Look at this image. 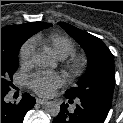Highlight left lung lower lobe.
<instances>
[{
    "label": "left lung lower lobe",
    "instance_id": "left-lung-lower-lobe-1",
    "mask_svg": "<svg viewBox=\"0 0 123 123\" xmlns=\"http://www.w3.org/2000/svg\"><path fill=\"white\" fill-rule=\"evenodd\" d=\"M69 98V102L73 98ZM74 112L68 111V104H62L58 116L53 123H103L107 117L111 104L92 98H78Z\"/></svg>",
    "mask_w": 123,
    "mask_h": 123
}]
</instances>
